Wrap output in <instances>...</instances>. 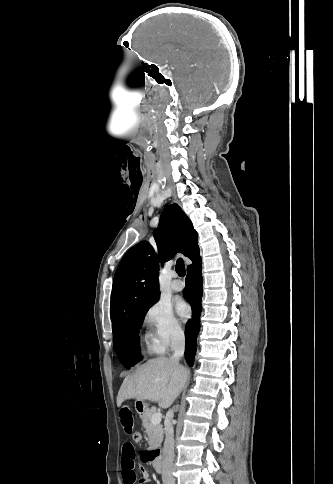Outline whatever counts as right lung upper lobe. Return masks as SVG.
<instances>
[{"instance_id":"1","label":"right lung upper lobe","mask_w":333,"mask_h":484,"mask_svg":"<svg viewBox=\"0 0 333 484\" xmlns=\"http://www.w3.org/2000/svg\"><path fill=\"white\" fill-rule=\"evenodd\" d=\"M154 238L157 253L142 241L128 250L117 268L110 305L113 336L128 316L157 301L159 258L168 261L181 252L193 262L188 267L201 261L197 232L177 204L164 209Z\"/></svg>"}]
</instances>
